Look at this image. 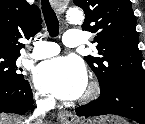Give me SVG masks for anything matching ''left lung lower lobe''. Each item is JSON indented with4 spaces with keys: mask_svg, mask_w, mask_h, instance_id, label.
<instances>
[{
    "mask_svg": "<svg viewBox=\"0 0 145 124\" xmlns=\"http://www.w3.org/2000/svg\"><path fill=\"white\" fill-rule=\"evenodd\" d=\"M114 114L145 124V87L120 83L90 104L76 108L77 116Z\"/></svg>",
    "mask_w": 145,
    "mask_h": 124,
    "instance_id": "0a47b994",
    "label": "left lung lower lobe"
}]
</instances>
